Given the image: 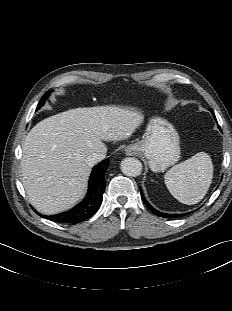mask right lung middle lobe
I'll return each instance as SVG.
<instances>
[{
  "label": "right lung middle lobe",
  "instance_id": "1",
  "mask_svg": "<svg viewBox=\"0 0 232 311\" xmlns=\"http://www.w3.org/2000/svg\"><path fill=\"white\" fill-rule=\"evenodd\" d=\"M52 92V90L47 91L44 96L42 97V99L40 100L38 106H37V110L42 107V105L44 104L45 100L47 99V97L49 96V94Z\"/></svg>",
  "mask_w": 232,
  "mask_h": 311
}]
</instances>
